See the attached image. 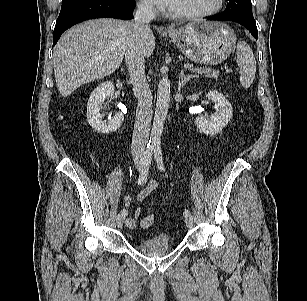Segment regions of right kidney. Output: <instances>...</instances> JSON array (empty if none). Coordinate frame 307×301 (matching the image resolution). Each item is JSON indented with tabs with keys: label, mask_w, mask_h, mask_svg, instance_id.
I'll use <instances>...</instances> for the list:
<instances>
[{
	"label": "right kidney",
	"mask_w": 307,
	"mask_h": 301,
	"mask_svg": "<svg viewBox=\"0 0 307 301\" xmlns=\"http://www.w3.org/2000/svg\"><path fill=\"white\" fill-rule=\"evenodd\" d=\"M115 88L111 81H106L98 85L91 93L87 103V120L90 126L98 133L108 134L119 129L124 121L122 113H117L108 122L103 121L100 111L106 97H112Z\"/></svg>",
	"instance_id": "obj_1"
}]
</instances>
